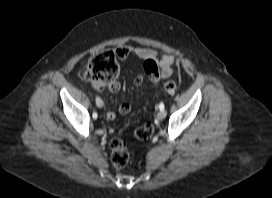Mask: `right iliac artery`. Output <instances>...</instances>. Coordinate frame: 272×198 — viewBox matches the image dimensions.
<instances>
[{
    "label": "right iliac artery",
    "mask_w": 272,
    "mask_h": 198,
    "mask_svg": "<svg viewBox=\"0 0 272 198\" xmlns=\"http://www.w3.org/2000/svg\"><path fill=\"white\" fill-rule=\"evenodd\" d=\"M93 118H95V119L97 118V113L96 112L93 113Z\"/></svg>",
    "instance_id": "right-iliac-artery-1"
}]
</instances>
